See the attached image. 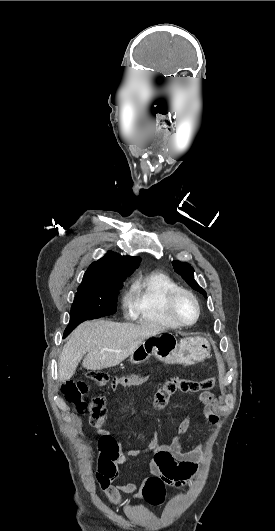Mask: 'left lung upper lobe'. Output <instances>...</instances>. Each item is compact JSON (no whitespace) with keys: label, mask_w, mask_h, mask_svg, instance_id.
<instances>
[{"label":"left lung upper lobe","mask_w":275,"mask_h":531,"mask_svg":"<svg viewBox=\"0 0 275 531\" xmlns=\"http://www.w3.org/2000/svg\"><path fill=\"white\" fill-rule=\"evenodd\" d=\"M174 270L196 291H199L205 298L207 294L194 280V269L190 264L175 260L172 262Z\"/></svg>","instance_id":"5c2ea615"}]
</instances>
